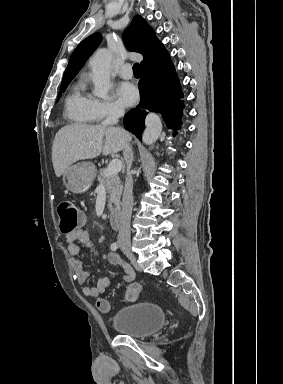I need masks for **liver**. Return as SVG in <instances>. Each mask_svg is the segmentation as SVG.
Wrapping results in <instances>:
<instances>
[{"mask_svg": "<svg viewBox=\"0 0 283 384\" xmlns=\"http://www.w3.org/2000/svg\"><path fill=\"white\" fill-rule=\"evenodd\" d=\"M106 140L103 146V140ZM126 144L125 136L120 128L112 126H87V124H71L57 132L52 148L53 168L57 178L64 174L71 164L79 160H92L100 156H109L121 152Z\"/></svg>", "mask_w": 283, "mask_h": 384, "instance_id": "liver-1", "label": "liver"}]
</instances>
